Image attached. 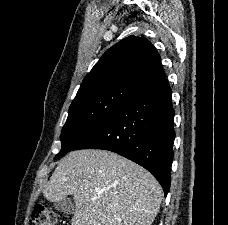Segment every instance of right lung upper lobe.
Wrapping results in <instances>:
<instances>
[{
  "instance_id": "cb5924a9",
  "label": "right lung upper lobe",
  "mask_w": 228,
  "mask_h": 225,
  "mask_svg": "<svg viewBox=\"0 0 228 225\" xmlns=\"http://www.w3.org/2000/svg\"><path fill=\"white\" fill-rule=\"evenodd\" d=\"M162 71L155 47L144 37L129 36L104 53L85 76L77 95L88 88L110 82H123L141 89Z\"/></svg>"
}]
</instances>
